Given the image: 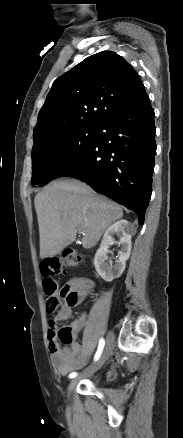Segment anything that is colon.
Listing matches in <instances>:
<instances>
[{"label":"colon","mask_w":183,"mask_h":438,"mask_svg":"<svg viewBox=\"0 0 183 438\" xmlns=\"http://www.w3.org/2000/svg\"><path fill=\"white\" fill-rule=\"evenodd\" d=\"M81 261L82 257L76 250L66 249L60 255L49 258L41 263L47 313L56 312L62 300L71 306L78 304V293L72 290L68 285H65L59 290L54 277L62 273L65 268L76 266ZM56 334L58 339L63 343H70L74 339V331L70 325L62 327Z\"/></svg>","instance_id":"colon-1"}]
</instances>
